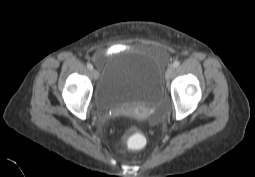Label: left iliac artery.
I'll return each mask as SVG.
<instances>
[{"label":"left iliac artery","instance_id":"1","mask_svg":"<svg viewBox=\"0 0 255 177\" xmlns=\"http://www.w3.org/2000/svg\"><path fill=\"white\" fill-rule=\"evenodd\" d=\"M179 65H180V62H179V61H175V62L173 63V67H174V68H177Z\"/></svg>","mask_w":255,"mask_h":177}]
</instances>
